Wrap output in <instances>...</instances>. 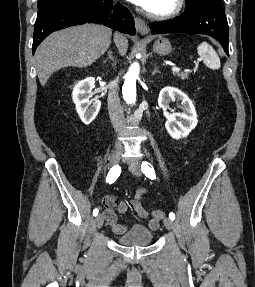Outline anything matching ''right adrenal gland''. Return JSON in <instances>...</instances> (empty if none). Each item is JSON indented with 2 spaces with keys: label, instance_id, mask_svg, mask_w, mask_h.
<instances>
[{
  "label": "right adrenal gland",
  "instance_id": "obj_1",
  "mask_svg": "<svg viewBox=\"0 0 255 287\" xmlns=\"http://www.w3.org/2000/svg\"><path fill=\"white\" fill-rule=\"evenodd\" d=\"M107 60H112V62H114V58H113V52H108V58ZM107 60H104L103 64H106Z\"/></svg>",
  "mask_w": 255,
  "mask_h": 287
}]
</instances>
